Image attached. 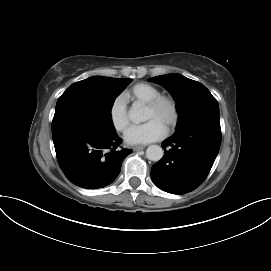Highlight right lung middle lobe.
I'll return each instance as SVG.
<instances>
[{
  "label": "right lung middle lobe",
  "mask_w": 271,
  "mask_h": 271,
  "mask_svg": "<svg viewBox=\"0 0 271 271\" xmlns=\"http://www.w3.org/2000/svg\"><path fill=\"white\" fill-rule=\"evenodd\" d=\"M131 81L95 76L72 84L57 101L52 136L92 124L114 129L113 103Z\"/></svg>",
  "instance_id": "right-lung-middle-lobe-1"
}]
</instances>
